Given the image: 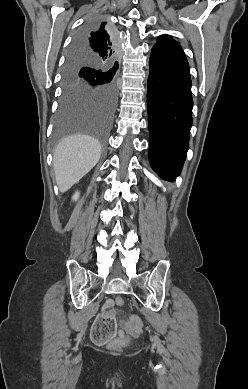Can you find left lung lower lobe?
<instances>
[{"label": "left lung lower lobe", "mask_w": 248, "mask_h": 389, "mask_svg": "<svg viewBox=\"0 0 248 389\" xmlns=\"http://www.w3.org/2000/svg\"><path fill=\"white\" fill-rule=\"evenodd\" d=\"M149 69V160L161 178L173 181L185 161L192 126L189 65L180 45H154Z\"/></svg>", "instance_id": "left-lung-lower-lobe-1"}]
</instances>
